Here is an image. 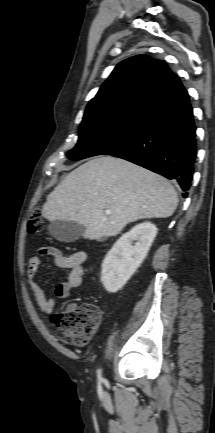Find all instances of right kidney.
I'll list each match as a JSON object with an SVG mask.
<instances>
[{
    "label": "right kidney",
    "instance_id": "ca27d5eb",
    "mask_svg": "<svg viewBox=\"0 0 215 433\" xmlns=\"http://www.w3.org/2000/svg\"><path fill=\"white\" fill-rule=\"evenodd\" d=\"M157 228L143 222L122 235L113 245L102 263L101 281L108 292L120 290L146 257ZM133 241H137L133 245Z\"/></svg>",
    "mask_w": 215,
    "mask_h": 433
}]
</instances>
